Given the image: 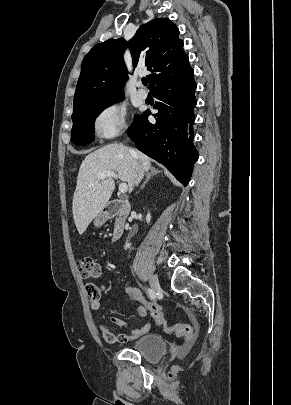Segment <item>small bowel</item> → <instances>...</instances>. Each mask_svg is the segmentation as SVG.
Listing matches in <instances>:
<instances>
[{
    "label": "small bowel",
    "mask_w": 291,
    "mask_h": 405,
    "mask_svg": "<svg viewBox=\"0 0 291 405\" xmlns=\"http://www.w3.org/2000/svg\"><path fill=\"white\" fill-rule=\"evenodd\" d=\"M91 305L93 309H98L100 306L99 299L96 300H91ZM147 308L144 304L141 303V306L138 307L137 309V315L139 317H145L147 315ZM188 317L195 322L194 316L190 311H186ZM111 321L120 326L123 327L125 326V321L116 317V316H111ZM101 334L104 338V340L108 343L111 344H116V343H125L131 340H135L146 333L149 332L150 330V323L145 324L143 327L139 329L132 330L131 332H123V333H113L107 329V327L103 324L99 326Z\"/></svg>",
    "instance_id": "obj_1"
}]
</instances>
